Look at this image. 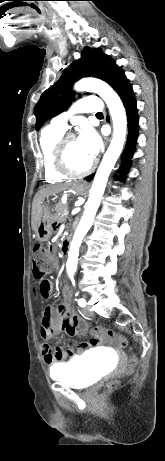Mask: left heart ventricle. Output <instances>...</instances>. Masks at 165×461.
Returning <instances> with one entry per match:
<instances>
[{
    "mask_svg": "<svg viewBox=\"0 0 165 461\" xmlns=\"http://www.w3.org/2000/svg\"><path fill=\"white\" fill-rule=\"evenodd\" d=\"M67 161L73 169L83 170L90 164L92 158L84 152L77 138H73L67 145Z\"/></svg>",
    "mask_w": 165,
    "mask_h": 461,
    "instance_id": "1",
    "label": "left heart ventricle"
}]
</instances>
